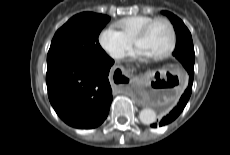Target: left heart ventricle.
I'll return each mask as SVG.
<instances>
[{
    "label": "left heart ventricle",
    "instance_id": "obj_1",
    "mask_svg": "<svg viewBox=\"0 0 230 155\" xmlns=\"http://www.w3.org/2000/svg\"><path fill=\"white\" fill-rule=\"evenodd\" d=\"M171 40L169 26L165 22L155 23L147 35L138 41L137 47L142 48L148 56H154L164 52Z\"/></svg>",
    "mask_w": 230,
    "mask_h": 155
}]
</instances>
